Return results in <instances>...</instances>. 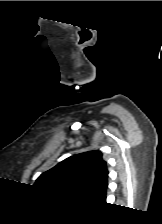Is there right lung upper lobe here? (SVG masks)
Returning a JSON list of instances; mask_svg holds the SVG:
<instances>
[{
	"instance_id": "obj_1",
	"label": "right lung upper lobe",
	"mask_w": 162,
	"mask_h": 224,
	"mask_svg": "<svg viewBox=\"0 0 162 224\" xmlns=\"http://www.w3.org/2000/svg\"><path fill=\"white\" fill-rule=\"evenodd\" d=\"M106 162L99 151L71 156L42 173L36 187L49 192L80 197L85 202L104 203L108 187Z\"/></svg>"
}]
</instances>
